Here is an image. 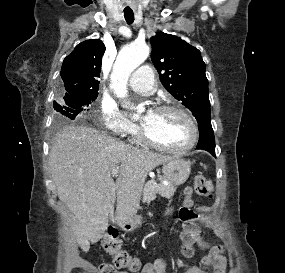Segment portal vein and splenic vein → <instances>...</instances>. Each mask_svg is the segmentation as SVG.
Returning <instances> with one entry per match:
<instances>
[{"label":"portal vein and splenic vein","mask_w":285,"mask_h":273,"mask_svg":"<svg viewBox=\"0 0 285 273\" xmlns=\"http://www.w3.org/2000/svg\"><path fill=\"white\" fill-rule=\"evenodd\" d=\"M118 173H119V169H118V168H115V169H113V170L111 171V175H112L113 177L118 176Z\"/></svg>","instance_id":"portal-vein-and-splenic-vein-1"}]
</instances>
